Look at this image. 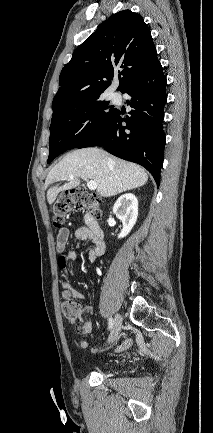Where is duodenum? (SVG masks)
Masks as SVG:
<instances>
[{"mask_svg": "<svg viewBox=\"0 0 213 433\" xmlns=\"http://www.w3.org/2000/svg\"><path fill=\"white\" fill-rule=\"evenodd\" d=\"M88 227L90 228L94 238L99 241V242H103V231L100 228L97 220L95 217H93L92 215H89L88 217Z\"/></svg>", "mask_w": 213, "mask_h": 433, "instance_id": "duodenum-1", "label": "duodenum"}]
</instances>
